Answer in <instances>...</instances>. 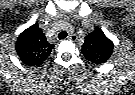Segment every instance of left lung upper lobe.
<instances>
[{"instance_id":"1","label":"left lung upper lobe","mask_w":135,"mask_h":95,"mask_svg":"<svg viewBox=\"0 0 135 95\" xmlns=\"http://www.w3.org/2000/svg\"><path fill=\"white\" fill-rule=\"evenodd\" d=\"M113 48V42L99 27H96L85 37L82 53L88 61L100 65L108 61L113 53Z\"/></svg>"}]
</instances>
